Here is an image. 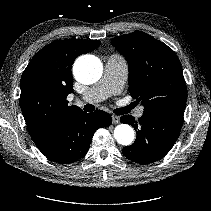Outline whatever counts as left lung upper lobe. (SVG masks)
Here are the masks:
<instances>
[{"mask_svg":"<svg viewBox=\"0 0 211 211\" xmlns=\"http://www.w3.org/2000/svg\"><path fill=\"white\" fill-rule=\"evenodd\" d=\"M113 46L129 65V93L144 111L185 109L187 89L175 52L143 32L112 38Z\"/></svg>","mask_w":211,"mask_h":211,"instance_id":"5c2ea615","label":"left lung upper lobe"}]
</instances>
